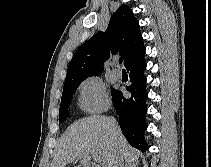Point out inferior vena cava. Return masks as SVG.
<instances>
[{
	"label": "inferior vena cava",
	"instance_id": "inferior-vena-cava-1",
	"mask_svg": "<svg viewBox=\"0 0 211 167\" xmlns=\"http://www.w3.org/2000/svg\"><path fill=\"white\" fill-rule=\"evenodd\" d=\"M111 128H112V130H116V128H117V124H116V120L114 119V118H111ZM113 167H123L122 166V161H121V159H120V157H118L115 161H114V163H113V165H112Z\"/></svg>",
	"mask_w": 211,
	"mask_h": 167
}]
</instances>
